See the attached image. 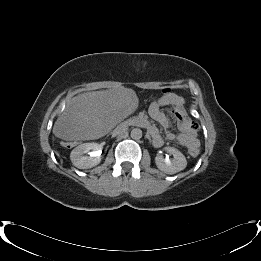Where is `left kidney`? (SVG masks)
<instances>
[{"instance_id":"5707ae66","label":"left kidney","mask_w":261,"mask_h":261,"mask_svg":"<svg viewBox=\"0 0 261 261\" xmlns=\"http://www.w3.org/2000/svg\"><path fill=\"white\" fill-rule=\"evenodd\" d=\"M165 150L173 156V158H164L162 154H157L155 163L159 170L167 174H175L183 170L187 165L185 156L174 147H166Z\"/></svg>"}]
</instances>
